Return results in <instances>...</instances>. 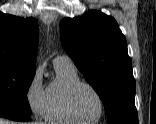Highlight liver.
Masks as SVG:
<instances>
[{
  "label": "liver",
  "mask_w": 156,
  "mask_h": 124,
  "mask_svg": "<svg viewBox=\"0 0 156 124\" xmlns=\"http://www.w3.org/2000/svg\"><path fill=\"white\" fill-rule=\"evenodd\" d=\"M0 124H12L10 121H6L2 118H0Z\"/></svg>",
  "instance_id": "liver-1"
}]
</instances>
